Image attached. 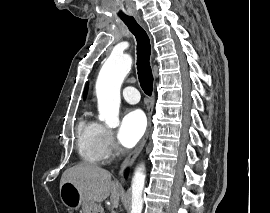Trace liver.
Wrapping results in <instances>:
<instances>
[{"label": "liver", "mask_w": 270, "mask_h": 213, "mask_svg": "<svg viewBox=\"0 0 270 213\" xmlns=\"http://www.w3.org/2000/svg\"><path fill=\"white\" fill-rule=\"evenodd\" d=\"M71 181L81 195L92 203H101L110 196L114 208L119 205L121 188L111 180V173L95 164L80 163L64 171L60 186Z\"/></svg>", "instance_id": "1"}]
</instances>
